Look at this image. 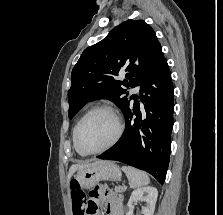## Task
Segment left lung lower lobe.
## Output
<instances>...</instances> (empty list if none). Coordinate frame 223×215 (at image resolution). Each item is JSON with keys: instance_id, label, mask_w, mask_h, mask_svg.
Listing matches in <instances>:
<instances>
[{"instance_id": "obj_1", "label": "left lung lower lobe", "mask_w": 223, "mask_h": 215, "mask_svg": "<svg viewBox=\"0 0 223 215\" xmlns=\"http://www.w3.org/2000/svg\"><path fill=\"white\" fill-rule=\"evenodd\" d=\"M173 84L167 60L141 82L140 111L138 97L124 113L126 127L119 141L97 158L115 160L144 170L164 183L170 159V135L173 127ZM136 115L135 119L132 116Z\"/></svg>"}]
</instances>
